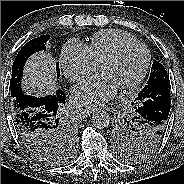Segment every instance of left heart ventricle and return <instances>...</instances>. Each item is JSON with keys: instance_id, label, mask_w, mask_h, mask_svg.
I'll return each mask as SVG.
<instances>
[{"instance_id": "left-heart-ventricle-1", "label": "left heart ventricle", "mask_w": 184, "mask_h": 184, "mask_svg": "<svg viewBox=\"0 0 184 184\" xmlns=\"http://www.w3.org/2000/svg\"><path fill=\"white\" fill-rule=\"evenodd\" d=\"M145 62V54L139 47L127 49L115 61L101 65L100 73L108 75L118 88L133 81L140 73Z\"/></svg>"}]
</instances>
